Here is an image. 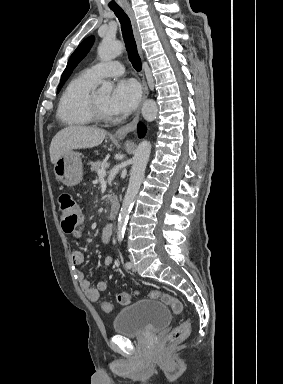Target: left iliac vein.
<instances>
[{
	"instance_id": "obj_1",
	"label": "left iliac vein",
	"mask_w": 283,
	"mask_h": 384,
	"mask_svg": "<svg viewBox=\"0 0 283 384\" xmlns=\"http://www.w3.org/2000/svg\"><path fill=\"white\" fill-rule=\"evenodd\" d=\"M129 259H130L132 271H136V268H135L134 263H133V258L131 256H129Z\"/></svg>"
}]
</instances>
